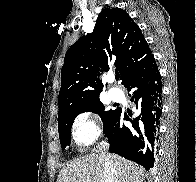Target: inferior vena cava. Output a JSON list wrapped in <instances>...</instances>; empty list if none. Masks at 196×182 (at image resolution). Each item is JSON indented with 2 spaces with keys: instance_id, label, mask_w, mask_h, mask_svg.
<instances>
[{
  "instance_id": "obj_1",
  "label": "inferior vena cava",
  "mask_w": 196,
  "mask_h": 182,
  "mask_svg": "<svg viewBox=\"0 0 196 182\" xmlns=\"http://www.w3.org/2000/svg\"><path fill=\"white\" fill-rule=\"evenodd\" d=\"M108 148H109V144L106 141H102L98 145L99 155L102 158H104V163H103L104 182H119L116 166L106 154Z\"/></svg>"
}]
</instances>
